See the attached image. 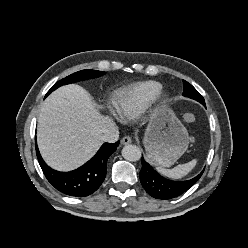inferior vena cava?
<instances>
[{"instance_id":"obj_1","label":"inferior vena cava","mask_w":248,"mask_h":248,"mask_svg":"<svg viewBox=\"0 0 248 248\" xmlns=\"http://www.w3.org/2000/svg\"><path fill=\"white\" fill-rule=\"evenodd\" d=\"M119 138V130L117 128H112L106 130V132L102 135V140L108 143H114Z\"/></svg>"}]
</instances>
